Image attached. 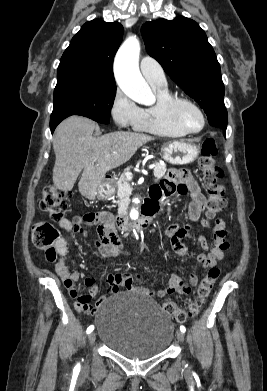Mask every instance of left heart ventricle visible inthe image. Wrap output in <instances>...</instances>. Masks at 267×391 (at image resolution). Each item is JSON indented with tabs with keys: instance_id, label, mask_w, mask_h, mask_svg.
Instances as JSON below:
<instances>
[{
	"instance_id": "obj_1",
	"label": "left heart ventricle",
	"mask_w": 267,
	"mask_h": 391,
	"mask_svg": "<svg viewBox=\"0 0 267 391\" xmlns=\"http://www.w3.org/2000/svg\"><path fill=\"white\" fill-rule=\"evenodd\" d=\"M179 116L182 122L190 130H199L202 126V118L200 114L190 105L183 104L178 109Z\"/></svg>"
}]
</instances>
